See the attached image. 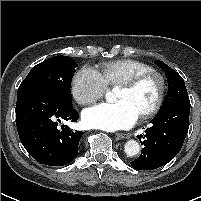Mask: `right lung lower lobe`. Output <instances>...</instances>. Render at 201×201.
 <instances>
[{
	"label": "right lung lower lobe",
	"mask_w": 201,
	"mask_h": 201,
	"mask_svg": "<svg viewBox=\"0 0 201 201\" xmlns=\"http://www.w3.org/2000/svg\"><path fill=\"white\" fill-rule=\"evenodd\" d=\"M72 104L44 90H32L17 97L16 125L28 153L39 163L62 166L78 155L82 131H72L62 121L76 122Z\"/></svg>",
	"instance_id": "1"
}]
</instances>
